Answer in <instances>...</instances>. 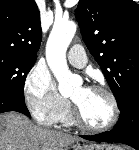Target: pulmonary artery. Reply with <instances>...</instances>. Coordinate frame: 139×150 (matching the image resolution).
<instances>
[{"mask_svg": "<svg viewBox=\"0 0 139 150\" xmlns=\"http://www.w3.org/2000/svg\"><path fill=\"white\" fill-rule=\"evenodd\" d=\"M67 58L73 66L78 68L84 67L87 63L85 51L79 44H76L70 48Z\"/></svg>", "mask_w": 139, "mask_h": 150, "instance_id": "1", "label": "pulmonary artery"}]
</instances>
